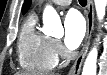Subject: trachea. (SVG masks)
I'll list each match as a JSON object with an SVG mask.
<instances>
[{"label": "trachea", "instance_id": "1", "mask_svg": "<svg viewBox=\"0 0 107 75\" xmlns=\"http://www.w3.org/2000/svg\"><path fill=\"white\" fill-rule=\"evenodd\" d=\"M79 3H80L82 6H86L87 0H79Z\"/></svg>", "mask_w": 107, "mask_h": 75}]
</instances>
